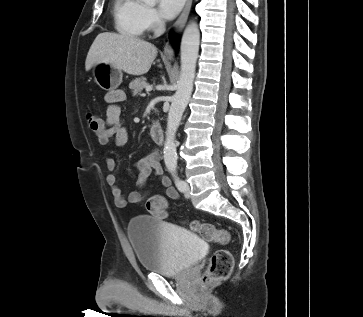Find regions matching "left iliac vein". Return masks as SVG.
Masks as SVG:
<instances>
[{
  "label": "left iliac vein",
  "mask_w": 363,
  "mask_h": 317,
  "mask_svg": "<svg viewBox=\"0 0 363 317\" xmlns=\"http://www.w3.org/2000/svg\"><path fill=\"white\" fill-rule=\"evenodd\" d=\"M184 194H185L186 197L190 196V187H189L188 183H185Z\"/></svg>",
  "instance_id": "4c4485c4"
}]
</instances>
